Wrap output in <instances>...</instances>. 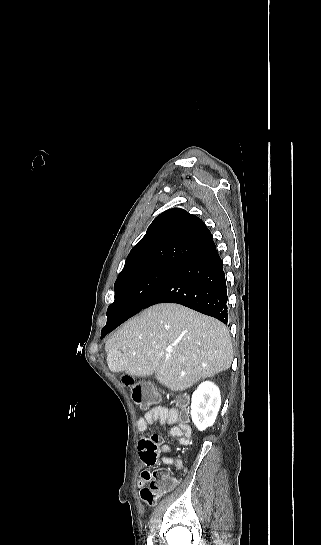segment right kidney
<instances>
[{
    "mask_svg": "<svg viewBox=\"0 0 321 545\" xmlns=\"http://www.w3.org/2000/svg\"><path fill=\"white\" fill-rule=\"evenodd\" d=\"M220 405L218 387L210 381L201 383L197 391H194L191 403V419L199 431H205L207 427L214 425Z\"/></svg>",
    "mask_w": 321,
    "mask_h": 545,
    "instance_id": "1",
    "label": "right kidney"
}]
</instances>
